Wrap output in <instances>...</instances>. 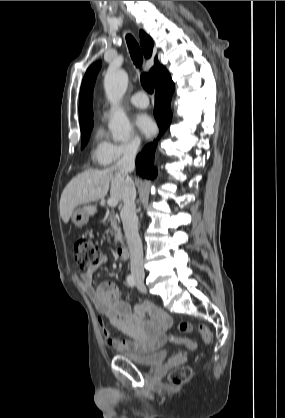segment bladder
I'll return each mask as SVG.
<instances>
[{
    "label": "bladder",
    "instance_id": "bladder-1",
    "mask_svg": "<svg viewBox=\"0 0 285 418\" xmlns=\"http://www.w3.org/2000/svg\"><path fill=\"white\" fill-rule=\"evenodd\" d=\"M123 355L141 366L162 364L167 358V353L163 349H155L142 353L133 350H125L123 351Z\"/></svg>",
    "mask_w": 285,
    "mask_h": 418
}]
</instances>
